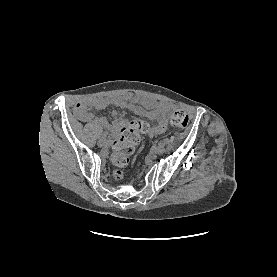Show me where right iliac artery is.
I'll list each match as a JSON object with an SVG mask.
<instances>
[{
    "instance_id": "right-iliac-artery-1",
    "label": "right iliac artery",
    "mask_w": 277,
    "mask_h": 277,
    "mask_svg": "<svg viewBox=\"0 0 277 277\" xmlns=\"http://www.w3.org/2000/svg\"><path fill=\"white\" fill-rule=\"evenodd\" d=\"M107 137V133L106 132H103L100 134V138H106Z\"/></svg>"
}]
</instances>
